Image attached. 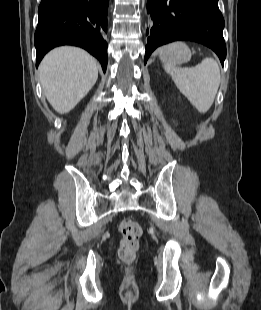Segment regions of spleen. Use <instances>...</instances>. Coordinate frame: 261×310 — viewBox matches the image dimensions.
Listing matches in <instances>:
<instances>
[{"label":"spleen","mask_w":261,"mask_h":310,"mask_svg":"<svg viewBox=\"0 0 261 310\" xmlns=\"http://www.w3.org/2000/svg\"><path fill=\"white\" fill-rule=\"evenodd\" d=\"M164 69L200 113L210 109L220 85V69L214 59L204 58L200 64L189 68L164 63Z\"/></svg>","instance_id":"1"}]
</instances>
